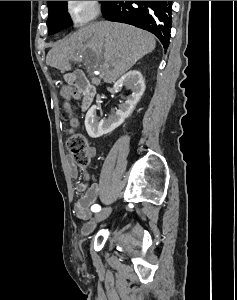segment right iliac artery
<instances>
[{
  "instance_id": "1",
  "label": "right iliac artery",
  "mask_w": 237,
  "mask_h": 300,
  "mask_svg": "<svg viewBox=\"0 0 237 300\" xmlns=\"http://www.w3.org/2000/svg\"><path fill=\"white\" fill-rule=\"evenodd\" d=\"M91 210L93 212H99L101 210V207L98 205V204H94L92 207H91Z\"/></svg>"
}]
</instances>
